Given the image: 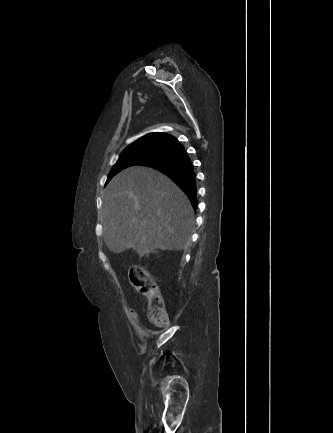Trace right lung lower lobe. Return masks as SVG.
I'll list each match as a JSON object with an SVG mask.
<instances>
[{
  "label": "right lung lower lobe",
  "mask_w": 333,
  "mask_h": 433,
  "mask_svg": "<svg viewBox=\"0 0 333 433\" xmlns=\"http://www.w3.org/2000/svg\"><path fill=\"white\" fill-rule=\"evenodd\" d=\"M163 145L172 149V151L160 159L142 165L156 168L170 177L184 192L188 194L192 205L196 208V175L191 160L185 152L184 146L171 137H168V140L163 142Z\"/></svg>",
  "instance_id": "1"
}]
</instances>
